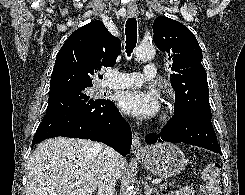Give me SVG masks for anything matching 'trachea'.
<instances>
[{"instance_id": "3493384b", "label": "trachea", "mask_w": 245, "mask_h": 195, "mask_svg": "<svg viewBox=\"0 0 245 195\" xmlns=\"http://www.w3.org/2000/svg\"><path fill=\"white\" fill-rule=\"evenodd\" d=\"M125 35H126V53L128 56L131 55L133 49L137 43V21L136 18L130 17L126 21V28H125Z\"/></svg>"}]
</instances>
